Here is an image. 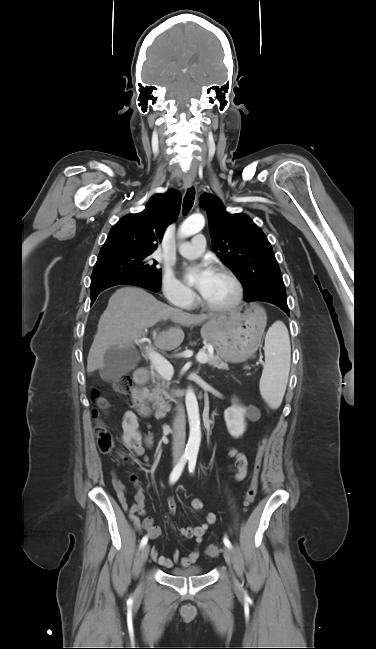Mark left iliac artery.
<instances>
[{"mask_svg":"<svg viewBox=\"0 0 376 649\" xmlns=\"http://www.w3.org/2000/svg\"><path fill=\"white\" fill-rule=\"evenodd\" d=\"M196 460H197L196 455H192V456L189 457L188 469H189L190 473H193L194 470H195ZM223 542H224L226 547H228L229 549L232 548L231 542L229 541V539L227 537H224Z\"/></svg>","mask_w":376,"mask_h":649,"instance_id":"obj_1","label":"left iliac artery"}]
</instances>
